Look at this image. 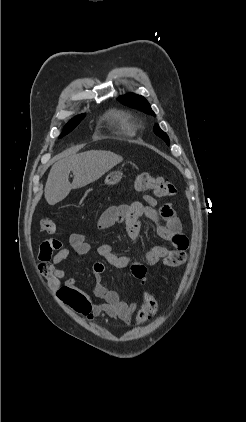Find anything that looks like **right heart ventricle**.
<instances>
[{"instance_id":"right-heart-ventricle-1","label":"right heart ventricle","mask_w":246,"mask_h":422,"mask_svg":"<svg viewBox=\"0 0 246 422\" xmlns=\"http://www.w3.org/2000/svg\"><path fill=\"white\" fill-rule=\"evenodd\" d=\"M112 125L118 131L126 135H134L136 132V124L133 119L124 112H113L111 114Z\"/></svg>"}]
</instances>
